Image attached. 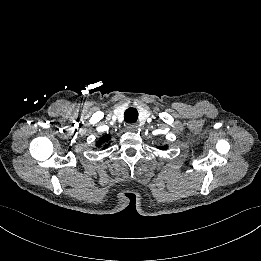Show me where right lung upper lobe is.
<instances>
[{
    "label": "right lung upper lobe",
    "instance_id": "1",
    "mask_svg": "<svg viewBox=\"0 0 261 261\" xmlns=\"http://www.w3.org/2000/svg\"><path fill=\"white\" fill-rule=\"evenodd\" d=\"M111 139L110 135H104L102 136L98 141H96L97 147H102V149H106L108 146V141Z\"/></svg>",
    "mask_w": 261,
    "mask_h": 261
}]
</instances>
